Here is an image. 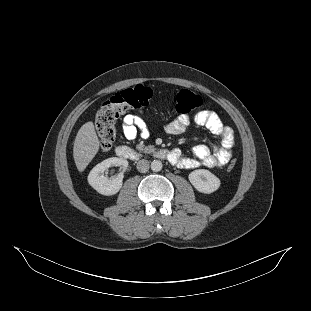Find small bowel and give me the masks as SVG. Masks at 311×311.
I'll list each match as a JSON object with an SVG mask.
<instances>
[{
    "label": "small bowel",
    "instance_id": "small-bowel-1",
    "mask_svg": "<svg viewBox=\"0 0 311 311\" xmlns=\"http://www.w3.org/2000/svg\"><path fill=\"white\" fill-rule=\"evenodd\" d=\"M190 124L205 127L212 134L218 136L220 141L213 147L205 144L196 145L193 148V157H183L179 150H173L174 160L172 163L185 169L200 166L214 168L228 163L235 145L233 130L224 125L215 112L209 110L199 111L193 115H180L166 126V130L170 134L177 135L182 133ZM122 131L128 140L135 139L138 134L143 138L149 136L144 120L133 114H128L123 118Z\"/></svg>",
    "mask_w": 311,
    "mask_h": 311
}]
</instances>
